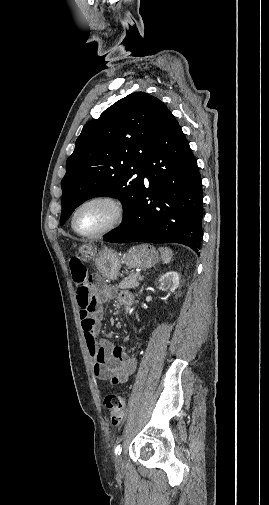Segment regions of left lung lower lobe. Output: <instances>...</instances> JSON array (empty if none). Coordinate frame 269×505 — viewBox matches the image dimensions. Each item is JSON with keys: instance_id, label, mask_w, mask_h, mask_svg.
Segmentation results:
<instances>
[{"instance_id": "1", "label": "left lung lower lobe", "mask_w": 269, "mask_h": 505, "mask_svg": "<svg viewBox=\"0 0 269 505\" xmlns=\"http://www.w3.org/2000/svg\"><path fill=\"white\" fill-rule=\"evenodd\" d=\"M149 181L145 187L144 178ZM203 193L197 161L171 112L147 149L130 218L104 236L114 243H180L201 248Z\"/></svg>"}]
</instances>
